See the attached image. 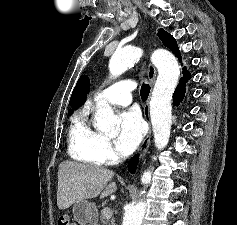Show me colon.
Segmentation results:
<instances>
[{
	"mask_svg": "<svg viewBox=\"0 0 237 225\" xmlns=\"http://www.w3.org/2000/svg\"><path fill=\"white\" fill-rule=\"evenodd\" d=\"M58 225H76V224H74L68 217L61 216L58 219Z\"/></svg>",
	"mask_w": 237,
	"mask_h": 225,
	"instance_id": "colon-1",
	"label": "colon"
}]
</instances>
